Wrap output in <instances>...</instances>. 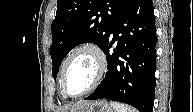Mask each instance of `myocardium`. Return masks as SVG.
<instances>
[{"label":"myocardium","instance_id":"myocardium-1","mask_svg":"<svg viewBox=\"0 0 193 112\" xmlns=\"http://www.w3.org/2000/svg\"><path fill=\"white\" fill-rule=\"evenodd\" d=\"M80 52H89L94 57L96 62V72L94 79L92 83L89 85V87H87L84 91L78 94H71L67 89L66 71L71 59ZM106 70H107V60L105 53L97 44L93 42H86L76 46L68 53V55L64 59L61 69V86L64 94L69 97H81L90 93L100 84V82L104 78Z\"/></svg>","mask_w":193,"mask_h":112}]
</instances>
